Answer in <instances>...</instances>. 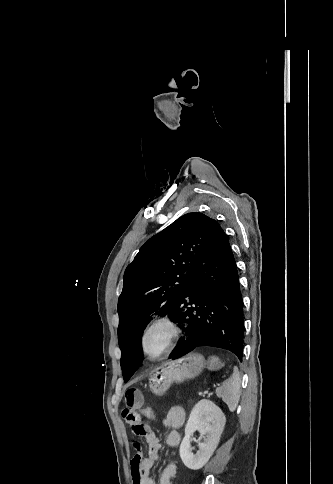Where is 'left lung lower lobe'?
<instances>
[{
	"instance_id": "obj_1",
	"label": "left lung lower lobe",
	"mask_w": 333,
	"mask_h": 484,
	"mask_svg": "<svg viewBox=\"0 0 333 484\" xmlns=\"http://www.w3.org/2000/svg\"><path fill=\"white\" fill-rule=\"evenodd\" d=\"M169 309V317L186 331L169 355L175 360L198 346L229 350L242 361L243 300L228 238L213 220ZM186 299V300H185ZM185 326V327H184Z\"/></svg>"
}]
</instances>
